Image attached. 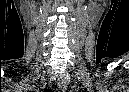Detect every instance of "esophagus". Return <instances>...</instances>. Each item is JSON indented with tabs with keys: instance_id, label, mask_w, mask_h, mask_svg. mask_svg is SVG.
I'll return each instance as SVG.
<instances>
[{
	"instance_id": "34e87169",
	"label": "esophagus",
	"mask_w": 129,
	"mask_h": 92,
	"mask_svg": "<svg viewBox=\"0 0 129 92\" xmlns=\"http://www.w3.org/2000/svg\"><path fill=\"white\" fill-rule=\"evenodd\" d=\"M58 88L60 91H65V89H66V82L63 77H60L58 80Z\"/></svg>"
}]
</instances>
